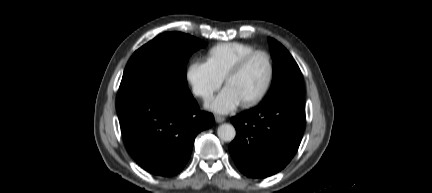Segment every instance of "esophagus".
<instances>
[{"label": "esophagus", "mask_w": 432, "mask_h": 193, "mask_svg": "<svg viewBox=\"0 0 432 193\" xmlns=\"http://www.w3.org/2000/svg\"><path fill=\"white\" fill-rule=\"evenodd\" d=\"M215 121H216L217 123H222V122L225 121V117H222V116L216 115V116H215Z\"/></svg>", "instance_id": "34e87169"}]
</instances>
